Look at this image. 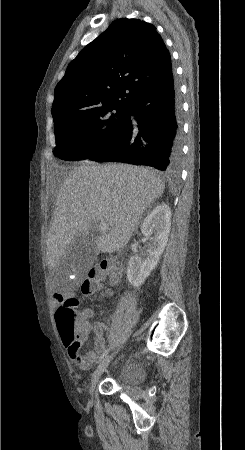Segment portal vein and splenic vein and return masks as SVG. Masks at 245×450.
Listing matches in <instances>:
<instances>
[{
	"instance_id": "18ae733b",
	"label": "portal vein and splenic vein",
	"mask_w": 245,
	"mask_h": 450,
	"mask_svg": "<svg viewBox=\"0 0 245 450\" xmlns=\"http://www.w3.org/2000/svg\"><path fill=\"white\" fill-rule=\"evenodd\" d=\"M98 229L101 232H107L109 230V225L106 222H100Z\"/></svg>"
}]
</instances>
